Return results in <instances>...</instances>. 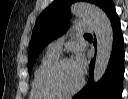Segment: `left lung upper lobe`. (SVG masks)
Instances as JSON below:
<instances>
[{
	"mask_svg": "<svg viewBox=\"0 0 128 99\" xmlns=\"http://www.w3.org/2000/svg\"><path fill=\"white\" fill-rule=\"evenodd\" d=\"M76 0H55L38 17L29 44L28 70L42 49L53 39L61 36L69 27L70 5ZM99 7L104 0H87Z\"/></svg>",
	"mask_w": 128,
	"mask_h": 99,
	"instance_id": "obj_1",
	"label": "left lung upper lobe"
}]
</instances>
